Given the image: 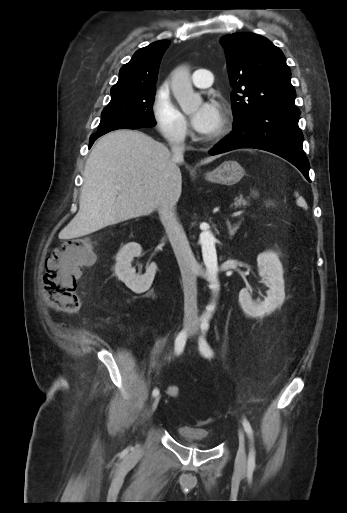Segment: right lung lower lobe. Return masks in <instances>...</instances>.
I'll return each mask as SVG.
<instances>
[{"mask_svg": "<svg viewBox=\"0 0 347 513\" xmlns=\"http://www.w3.org/2000/svg\"><path fill=\"white\" fill-rule=\"evenodd\" d=\"M136 128H139V127H132V126H129V127H125V128H120V129H136ZM112 131V130H111ZM110 131H105V132H97L93 135H91L90 137V140H89V148L92 146L93 142L100 136L108 133Z\"/></svg>", "mask_w": 347, "mask_h": 513, "instance_id": "right-lung-lower-lobe-1", "label": "right lung lower lobe"}]
</instances>
